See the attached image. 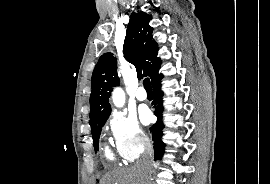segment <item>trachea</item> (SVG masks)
<instances>
[{
	"label": "trachea",
	"mask_w": 270,
	"mask_h": 184,
	"mask_svg": "<svg viewBox=\"0 0 270 184\" xmlns=\"http://www.w3.org/2000/svg\"><path fill=\"white\" fill-rule=\"evenodd\" d=\"M143 85L146 91H152L151 83L149 78H145L143 81Z\"/></svg>",
	"instance_id": "1"
}]
</instances>
